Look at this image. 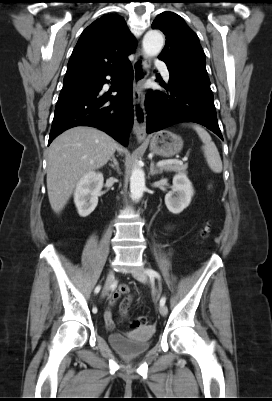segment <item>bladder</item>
<instances>
[{
  "instance_id": "bladder-1",
  "label": "bladder",
  "mask_w": 272,
  "mask_h": 401,
  "mask_svg": "<svg viewBox=\"0 0 272 401\" xmlns=\"http://www.w3.org/2000/svg\"><path fill=\"white\" fill-rule=\"evenodd\" d=\"M155 333L153 326H142L130 333H112L108 341L110 346L125 357L145 354L150 348V339Z\"/></svg>"
}]
</instances>
